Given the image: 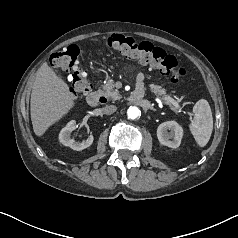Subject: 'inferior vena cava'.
Wrapping results in <instances>:
<instances>
[{
    "mask_svg": "<svg viewBox=\"0 0 238 238\" xmlns=\"http://www.w3.org/2000/svg\"><path fill=\"white\" fill-rule=\"evenodd\" d=\"M117 110V107L115 105H107L105 107L102 108V111L104 114H112Z\"/></svg>",
    "mask_w": 238,
    "mask_h": 238,
    "instance_id": "1",
    "label": "inferior vena cava"
}]
</instances>
